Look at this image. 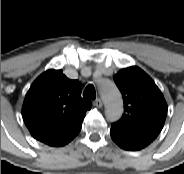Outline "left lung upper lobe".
I'll return each instance as SVG.
<instances>
[{
    "label": "left lung upper lobe",
    "mask_w": 184,
    "mask_h": 174,
    "mask_svg": "<svg viewBox=\"0 0 184 174\" xmlns=\"http://www.w3.org/2000/svg\"><path fill=\"white\" fill-rule=\"evenodd\" d=\"M114 81L121 91L125 110L121 119L112 125L155 139L167 115V104L159 88L136 66L120 70Z\"/></svg>",
    "instance_id": "1"
}]
</instances>
